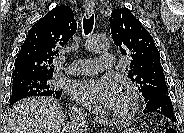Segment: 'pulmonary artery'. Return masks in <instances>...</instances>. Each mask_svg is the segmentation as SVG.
Masks as SVG:
<instances>
[{
  "label": "pulmonary artery",
  "mask_w": 184,
  "mask_h": 133,
  "mask_svg": "<svg viewBox=\"0 0 184 133\" xmlns=\"http://www.w3.org/2000/svg\"><path fill=\"white\" fill-rule=\"evenodd\" d=\"M116 64V57L112 54H103L99 58L77 59L67 69L66 72L70 74H95L103 69L113 68Z\"/></svg>",
  "instance_id": "obj_1"
}]
</instances>
